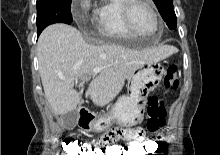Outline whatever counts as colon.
<instances>
[{"mask_svg": "<svg viewBox=\"0 0 220 155\" xmlns=\"http://www.w3.org/2000/svg\"><path fill=\"white\" fill-rule=\"evenodd\" d=\"M167 89H177L179 86V72L175 65H170L166 70L163 81ZM165 108L163 100L157 96L149 98L146 108L147 129L158 132L165 125ZM151 139L123 142V146H108L110 144L95 145L79 140L64 141V155H158V140L160 135H151ZM118 142V141H117Z\"/></svg>", "mask_w": 220, "mask_h": 155, "instance_id": "obj_1", "label": "colon"}]
</instances>
